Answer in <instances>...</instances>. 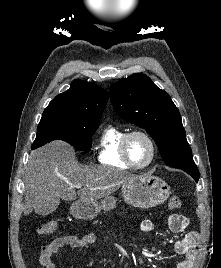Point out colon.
<instances>
[{
    "label": "colon",
    "mask_w": 221,
    "mask_h": 268,
    "mask_svg": "<svg viewBox=\"0 0 221 268\" xmlns=\"http://www.w3.org/2000/svg\"><path fill=\"white\" fill-rule=\"evenodd\" d=\"M181 199L179 197H171L168 202V208L170 210H175L180 208L181 206ZM57 229V223L55 221H48L43 223L38 228V234L40 235H49L53 233Z\"/></svg>",
    "instance_id": "1"
}]
</instances>
